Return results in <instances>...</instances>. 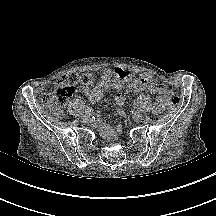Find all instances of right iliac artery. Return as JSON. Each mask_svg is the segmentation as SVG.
Wrapping results in <instances>:
<instances>
[{
	"label": "right iliac artery",
	"instance_id": "82829eb1",
	"mask_svg": "<svg viewBox=\"0 0 216 216\" xmlns=\"http://www.w3.org/2000/svg\"><path fill=\"white\" fill-rule=\"evenodd\" d=\"M92 112H93V109L91 107H87L85 113L90 115Z\"/></svg>",
	"mask_w": 216,
	"mask_h": 216
}]
</instances>
